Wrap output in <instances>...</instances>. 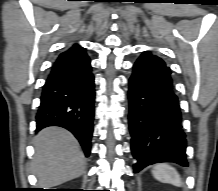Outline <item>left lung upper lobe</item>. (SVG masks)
<instances>
[{
	"label": "left lung upper lobe",
	"mask_w": 218,
	"mask_h": 191,
	"mask_svg": "<svg viewBox=\"0 0 218 191\" xmlns=\"http://www.w3.org/2000/svg\"><path fill=\"white\" fill-rule=\"evenodd\" d=\"M150 56L162 61L164 64H166L161 58L157 57L156 55H152L150 52H149Z\"/></svg>",
	"instance_id": "5c2ea615"
}]
</instances>
